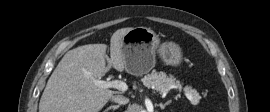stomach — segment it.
<instances>
[{"label":"stomach","instance_id":"0dacf381","mask_svg":"<svg viewBox=\"0 0 270 112\" xmlns=\"http://www.w3.org/2000/svg\"><path fill=\"white\" fill-rule=\"evenodd\" d=\"M160 41L154 31L146 27H136L122 38L121 52L125 70L135 76L148 73L155 65L156 50L167 65L178 66L182 60L180 47L174 42Z\"/></svg>","mask_w":270,"mask_h":112}]
</instances>
